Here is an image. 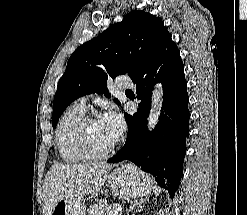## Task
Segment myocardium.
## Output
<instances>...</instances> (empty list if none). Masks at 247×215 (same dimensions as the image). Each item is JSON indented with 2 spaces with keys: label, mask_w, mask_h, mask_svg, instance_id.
I'll use <instances>...</instances> for the list:
<instances>
[{
  "label": "myocardium",
  "mask_w": 247,
  "mask_h": 215,
  "mask_svg": "<svg viewBox=\"0 0 247 215\" xmlns=\"http://www.w3.org/2000/svg\"><path fill=\"white\" fill-rule=\"evenodd\" d=\"M98 120L94 114L84 115L77 123L74 131L75 141L82 154L91 160H100L109 157L116 149L118 141L116 140L109 148L98 151L94 149L88 138V126L90 123Z\"/></svg>",
  "instance_id": "1"
}]
</instances>
